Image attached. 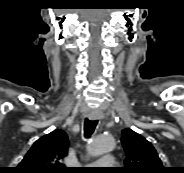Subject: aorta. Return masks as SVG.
<instances>
[{"label":"aorta","mask_w":184,"mask_h":173,"mask_svg":"<svg viewBox=\"0 0 184 173\" xmlns=\"http://www.w3.org/2000/svg\"><path fill=\"white\" fill-rule=\"evenodd\" d=\"M114 146L115 141L111 135H101L92 139L91 143L87 147V151L91 156H99L112 151Z\"/></svg>","instance_id":"aorta-1"}]
</instances>
